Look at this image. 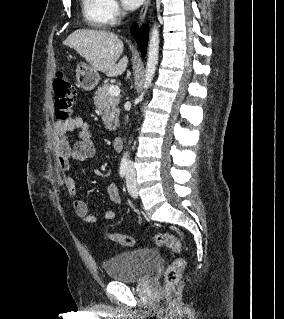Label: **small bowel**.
Returning a JSON list of instances; mask_svg holds the SVG:
<instances>
[{"mask_svg": "<svg viewBox=\"0 0 284 319\" xmlns=\"http://www.w3.org/2000/svg\"><path fill=\"white\" fill-rule=\"evenodd\" d=\"M73 131H78V140L74 144H71L69 136ZM54 148L58 166L64 172V184L70 194L75 195L76 183L74 178L69 174L71 162L72 160L82 162L91 159L96 153L85 120L82 117H74L67 121H57L54 125ZM107 193L115 205L120 203V193L115 183L107 186ZM73 208L76 215L83 221L91 224L97 222V217L90 213L89 207L84 200H74ZM116 216L117 210L115 207L109 208L105 213L107 220H114Z\"/></svg>", "mask_w": 284, "mask_h": 319, "instance_id": "obj_1", "label": "small bowel"}]
</instances>
